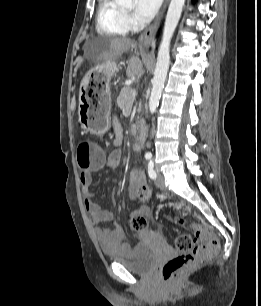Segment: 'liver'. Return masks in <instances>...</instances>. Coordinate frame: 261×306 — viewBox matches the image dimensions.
I'll use <instances>...</instances> for the list:
<instances>
[{
  "label": "liver",
  "mask_w": 261,
  "mask_h": 306,
  "mask_svg": "<svg viewBox=\"0 0 261 306\" xmlns=\"http://www.w3.org/2000/svg\"><path fill=\"white\" fill-rule=\"evenodd\" d=\"M101 44L104 46V51L101 53L99 60H103L105 62L115 61L130 48L135 47L133 40L124 37L109 39L107 41L101 42ZM142 66L143 64L139 57H131L126 69L127 77L132 78L140 75L142 73Z\"/></svg>",
  "instance_id": "6515ba94"
}]
</instances>
